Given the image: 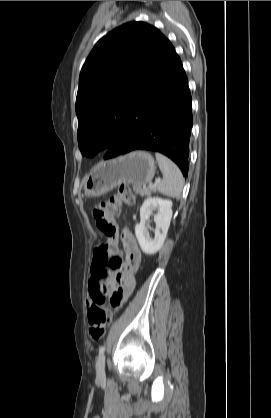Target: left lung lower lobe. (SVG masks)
Instances as JSON below:
<instances>
[{
    "label": "left lung lower lobe",
    "mask_w": 271,
    "mask_h": 418,
    "mask_svg": "<svg viewBox=\"0 0 271 418\" xmlns=\"http://www.w3.org/2000/svg\"><path fill=\"white\" fill-rule=\"evenodd\" d=\"M193 126L187 76L174 47L143 90L104 159L134 150L160 152L188 174Z\"/></svg>",
    "instance_id": "1"
}]
</instances>
